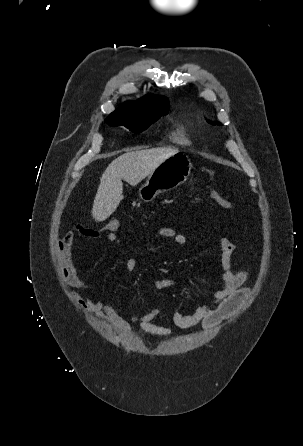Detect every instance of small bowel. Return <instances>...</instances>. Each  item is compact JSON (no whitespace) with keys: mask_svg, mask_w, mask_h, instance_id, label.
I'll list each match as a JSON object with an SVG mask.
<instances>
[{"mask_svg":"<svg viewBox=\"0 0 303 446\" xmlns=\"http://www.w3.org/2000/svg\"><path fill=\"white\" fill-rule=\"evenodd\" d=\"M76 235L98 239L101 233L84 228L81 224H76L58 240L59 262L66 283L86 295L81 297L75 293L79 305L85 311L93 313L104 320L114 329L130 332L134 330L135 325H138V330L145 335L161 338L168 337L171 333L170 329L154 322L162 313L163 308H154L143 315H132L127 320L120 316L105 299L92 300L87 296L92 286L79 277L73 259ZM155 235L159 238L173 241L177 245H185L188 242L186 235L171 227H160L155 231ZM105 238L115 244H120L124 240V237H118L116 234H105ZM219 245L222 269L220 286L215 291L210 302L198 306L192 313L180 310L173 314V322L179 328H189L201 324L203 328L210 329L231 315L248 298L249 289L244 286L248 278L247 273L245 271H234L232 268V256L235 251V245L227 238L220 239ZM125 265L129 271L134 270L136 268L135 258L127 257ZM178 286V280L171 278H163L154 282V288L157 291L177 288Z\"/></svg>","mask_w":303,"mask_h":446,"instance_id":"small-bowel-1","label":"small bowel"}]
</instances>
